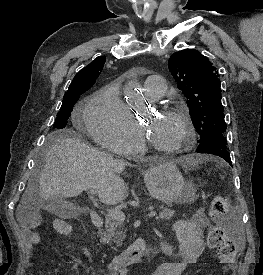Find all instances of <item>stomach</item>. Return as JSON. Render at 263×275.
Returning a JSON list of instances; mask_svg holds the SVG:
<instances>
[{
  "instance_id": "obj_1",
  "label": "stomach",
  "mask_w": 263,
  "mask_h": 275,
  "mask_svg": "<svg viewBox=\"0 0 263 275\" xmlns=\"http://www.w3.org/2000/svg\"><path fill=\"white\" fill-rule=\"evenodd\" d=\"M144 181L151 196L163 202L187 203L195 199L193 190L174 162L150 166L144 172Z\"/></svg>"
}]
</instances>
